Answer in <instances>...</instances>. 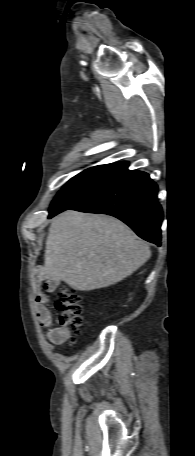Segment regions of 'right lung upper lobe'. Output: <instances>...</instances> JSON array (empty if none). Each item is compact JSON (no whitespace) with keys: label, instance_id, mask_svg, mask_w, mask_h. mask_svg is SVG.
Instances as JSON below:
<instances>
[{"label":"right lung upper lobe","instance_id":"1","mask_svg":"<svg viewBox=\"0 0 195 456\" xmlns=\"http://www.w3.org/2000/svg\"><path fill=\"white\" fill-rule=\"evenodd\" d=\"M128 165H129L128 162H117V163H111V164H106V165H100V167H108V168L126 170Z\"/></svg>","mask_w":195,"mask_h":456}]
</instances>
